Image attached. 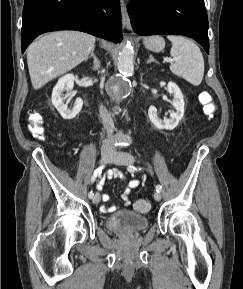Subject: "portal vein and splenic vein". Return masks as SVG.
Masks as SVG:
<instances>
[{
    "mask_svg": "<svg viewBox=\"0 0 243 289\" xmlns=\"http://www.w3.org/2000/svg\"><path fill=\"white\" fill-rule=\"evenodd\" d=\"M169 61H170V62H172V61H173V59L169 58Z\"/></svg>",
    "mask_w": 243,
    "mask_h": 289,
    "instance_id": "1",
    "label": "portal vein and splenic vein"
}]
</instances>
